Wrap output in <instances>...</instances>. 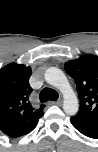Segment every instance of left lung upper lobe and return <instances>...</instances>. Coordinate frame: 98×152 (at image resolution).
Wrapping results in <instances>:
<instances>
[{"label":"left lung upper lobe","mask_w":98,"mask_h":152,"mask_svg":"<svg viewBox=\"0 0 98 152\" xmlns=\"http://www.w3.org/2000/svg\"><path fill=\"white\" fill-rule=\"evenodd\" d=\"M64 67L75 80L80 99L79 111L71 118L98 126V57L87 54Z\"/></svg>","instance_id":"1"}]
</instances>
